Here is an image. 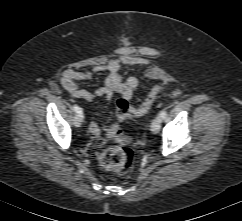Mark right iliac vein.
Returning <instances> with one entry per match:
<instances>
[{
  "instance_id": "63e3f726",
  "label": "right iliac vein",
  "mask_w": 242,
  "mask_h": 221,
  "mask_svg": "<svg viewBox=\"0 0 242 221\" xmlns=\"http://www.w3.org/2000/svg\"><path fill=\"white\" fill-rule=\"evenodd\" d=\"M81 124H82V118H81V116L76 115V116L74 117V125H75L76 127H80Z\"/></svg>"
}]
</instances>
